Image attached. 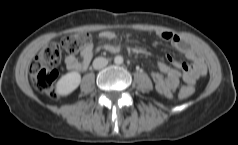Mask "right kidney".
Here are the masks:
<instances>
[{
  "mask_svg": "<svg viewBox=\"0 0 238 145\" xmlns=\"http://www.w3.org/2000/svg\"><path fill=\"white\" fill-rule=\"evenodd\" d=\"M81 75L78 72H69L63 75L56 84L59 95L66 96L72 93L80 84Z\"/></svg>",
  "mask_w": 238,
  "mask_h": 145,
  "instance_id": "right-kidney-1",
  "label": "right kidney"
}]
</instances>
